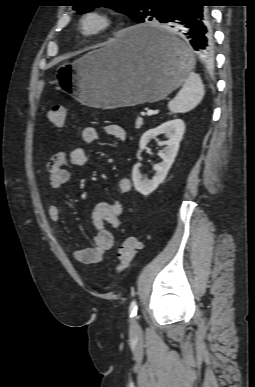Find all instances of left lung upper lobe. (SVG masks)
Instances as JSON below:
<instances>
[{
  "instance_id": "obj_1",
  "label": "left lung upper lobe",
  "mask_w": 255,
  "mask_h": 387,
  "mask_svg": "<svg viewBox=\"0 0 255 387\" xmlns=\"http://www.w3.org/2000/svg\"><path fill=\"white\" fill-rule=\"evenodd\" d=\"M177 1L180 0H74L73 9L78 14H82L96 7H109L126 14L139 23L152 20L161 22L168 5Z\"/></svg>"
}]
</instances>
